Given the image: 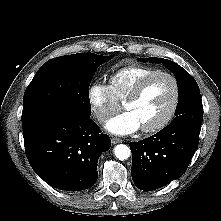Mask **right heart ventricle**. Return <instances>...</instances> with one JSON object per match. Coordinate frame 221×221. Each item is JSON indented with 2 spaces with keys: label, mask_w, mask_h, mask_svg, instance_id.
Masks as SVG:
<instances>
[{
  "label": "right heart ventricle",
  "mask_w": 221,
  "mask_h": 221,
  "mask_svg": "<svg viewBox=\"0 0 221 221\" xmlns=\"http://www.w3.org/2000/svg\"><path fill=\"white\" fill-rule=\"evenodd\" d=\"M157 71L143 65H127L115 70L109 77V87L117 101H124L135 85L146 75Z\"/></svg>",
  "instance_id": "1"
}]
</instances>
